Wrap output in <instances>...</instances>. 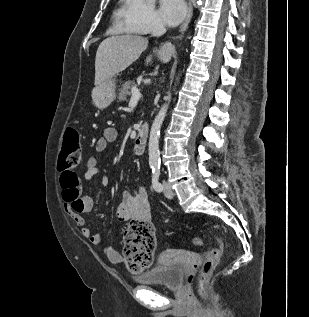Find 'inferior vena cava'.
Returning a JSON list of instances; mask_svg holds the SVG:
<instances>
[{"mask_svg": "<svg viewBox=\"0 0 309 317\" xmlns=\"http://www.w3.org/2000/svg\"><path fill=\"white\" fill-rule=\"evenodd\" d=\"M166 32V29L161 22H157L154 26V29L152 31L153 36H161Z\"/></svg>", "mask_w": 309, "mask_h": 317, "instance_id": "602c4592", "label": "inferior vena cava"}]
</instances>
